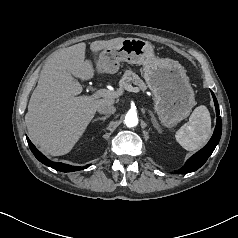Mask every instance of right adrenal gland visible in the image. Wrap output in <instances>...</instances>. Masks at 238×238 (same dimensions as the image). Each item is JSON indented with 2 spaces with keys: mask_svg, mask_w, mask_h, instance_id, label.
<instances>
[{
  "mask_svg": "<svg viewBox=\"0 0 238 238\" xmlns=\"http://www.w3.org/2000/svg\"><path fill=\"white\" fill-rule=\"evenodd\" d=\"M108 117H109L108 115L103 116V117H97L93 120V122L98 121V120H102L104 122Z\"/></svg>",
  "mask_w": 238,
  "mask_h": 238,
  "instance_id": "right-adrenal-gland-1",
  "label": "right adrenal gland"
}]
</instances>
